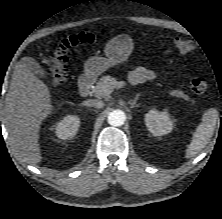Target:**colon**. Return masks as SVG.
I'll return each instance as SVG.
<instances>
[{
    "mask_svg": "<svg viewBox=\"0 0 222 219\" xmlns=\"http://www.w3.org/2000/svg\"><path fill=\"white\" fill-rule=\"evenodd\" d=\"M103 33H68L60 36L52 46L47 61V73L54 85H61L67 79V54L68 51L80 45H93L98 43ZM175 48L182 54H188L193 50L191 41L175 38ZM191 89L198 95H203L208 90V82L202 77H195L190 82Z\"/></svg>",
    "mask_w": 222,
    "mask_h": 219,
    "instance_id": "1",
    "label": "colon"
}]
</instances>
